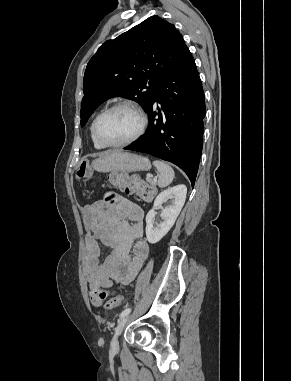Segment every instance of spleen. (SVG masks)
<instances>
[{
    "mask_svg": "<svg viewBox=\"0 0 291 381\" xmlns=\"http://www.w3.org/2000/svg\"><path fill=\"white\" fill-rule=\"evenodd\" d=\"M153 165L157 168L159 174L158 186L163 188L172 183L174 179V170L167 163L155 160Z\"/></svg>",
    "mask_w": 291,
    "mask_h": 381,
    "instance_id": "3e777b00",
    "label": "spleen"
}]
</instances>
